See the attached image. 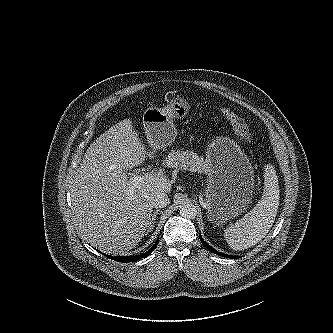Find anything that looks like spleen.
Returning <instances> with one entry per match:
<instances>
[{
  "instance_id": "obj_1",
  "label": "spleen",
  "mask_w": 333,
  "mask_h": 333,
  "mask_svg": "<svg viewBox=\"0 0 333 333\" xmlns=\"http://www.w3.org/2000/svg\"><path fill=\"white\" fill-rule=\"evenodd\" d=\"M279 183L271 164L264 167V190L256 206L235 224L224 230L228 245L235 251L250 248L261 241L271 229L279 206Z\"/></svg>"
}]
</instances>
